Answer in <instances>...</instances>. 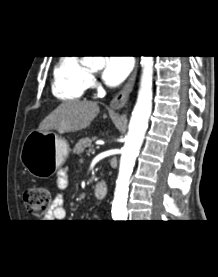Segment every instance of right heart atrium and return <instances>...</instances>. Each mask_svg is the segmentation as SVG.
Listing matches in <instances>:
<instances>
[{
    "label": "right heart atrium",
    "mask_w": 218,
    "mask_h": 277,
    "mask_svg": "<svg viewBox=\"0 0 218 277\" xmlns=\"http://www.w3.org/2000/svg\"><path fill=\"white\" fill-rule=\"evenodd\" d=\"M94 80H95V79H94V76L90 75V76H89V83H90V84H93V83H94Z\"/></svg>",
    "instance_id": "obj_1"
}]
</instances>
